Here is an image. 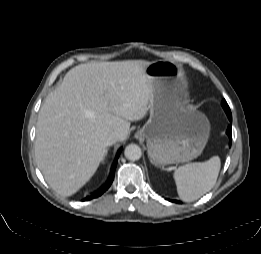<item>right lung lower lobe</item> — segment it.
Segmentation results:
<instances>
[{
	"mask_svg": "<svg viewBox=\"0 0 261 254\" xmlns=\"http://www.w3.org/2000/svg\"><path fill=\"white\" fill-rule=\"evenodd\" d=\"M119 153H120V151L118 152V154L116 156V159H115L114 164L111 169L110 177H109L108 181L106 182V184L103 186V188L99 192H97L96 194H94L90 197H86L84 200H90L92 198L99 197L110 187V185L112 184L113 179H114V174H115V169L117 166V159H118Z\"/></svg>",
	"mask_w": 261,
	"mask_h": 254,
	"instance_id": "right-lung-lower-lobe-1",
	"label": "right lung lower lobe"
}]
</instances>
